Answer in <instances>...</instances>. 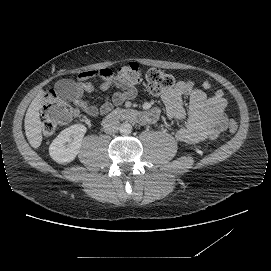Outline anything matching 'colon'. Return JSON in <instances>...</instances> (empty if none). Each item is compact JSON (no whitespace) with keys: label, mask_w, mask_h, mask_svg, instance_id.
<instances>
[{"label":"colon","mask_w":271,"mask_h":271,"mask_svg":"<svg viewBox=\"0 0 271 271\" xmlns=\"http://www.w3.org/2000/svg\"><path fill=\"white\" fill-rule=\"evenodd\" d=\"M118 76L125 82L135 85L140 81V70L137 63L130 62L118 70ZM174 85L171 74L157 68H151L146 73V87L153 95H158ZM208 84H205L207 87ZM215 96L222 98L223 93L217 90ZM42 131L46 135L52 134L58 126L65 125L78 116V111L71 105L58 98L54 90L46 89L42 97L41 105ZM237 123L234 120L228 122L230 133L237 131Z\"/></svg>","instance_id":"1"}]
</instances>
